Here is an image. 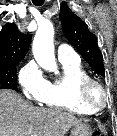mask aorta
<instances>
[{
	"label": "aorta",
	"instance_id": "1",
	"mask_svg": "<svg viewBox=\"0 0 117 136\" xmlns=\"http://www.w3.org/2000/svg\"><path fill=\"white\" fill-rule=\"evenodd\" d=\"M53 39V24L49 20L41 21L33 40V54L37 63L48 71H57Z\"/></svg>",
	"mask_w": 117,
	"mask_h": 136
}]
</instances>
